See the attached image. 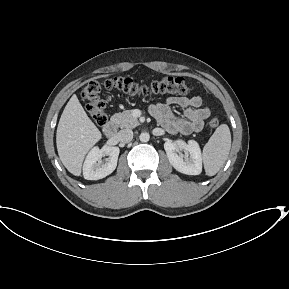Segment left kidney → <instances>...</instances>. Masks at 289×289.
<instances>
[{
    "label": "left kidney",
    "mask_w": 289,
    "mask_h": 289,
    "mask_svg": "<svg viewBox=\"0 0 289 289\" xmlns=\"http://www.w3.org/2000/svg\"><path fill=\"white\" fill-rule=\"evenodd\" d=\"M164 149L170 164L180 173L199 175L202 171V155L199 144L190 140L188 143L168 140ZM183 150L185 155L180 153ZM179 152V153H178Z\"/></svg>",
    "instance_id": "obj_1"
}]
</instances>
